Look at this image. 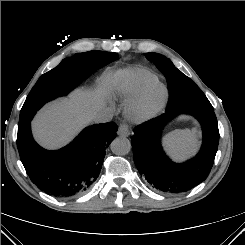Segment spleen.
<instances>
[{
  "instance_id": "1",
  "label": "spleen",
  "mask_w": 245,
  "mask_h": 245,
  "mask_svg": "<svg viewBox=\"0 0 245 245\" xmlns=\"http://www.w3.org/2000/svg\"><path fill=\"white\" fill-rule=\"evenodd\" d=\"M197 138L195 130H175L165 139V147L174 158H182L191 153L196 147Z\"/></svg>"
}]
</instances>
